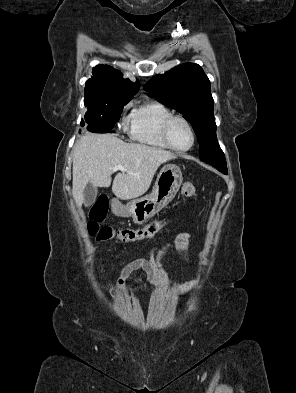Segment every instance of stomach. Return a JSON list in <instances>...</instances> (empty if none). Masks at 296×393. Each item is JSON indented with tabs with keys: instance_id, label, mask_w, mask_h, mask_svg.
I'll return each mask as SVG.
<instances>
[{
	"instance_id": "1",
	"label": "stomach",
	"mask_w": 296,
	"mask_h": 393,
	"mask_svg": "<svg viewBox=\"0 0 296 393\" xmlns=\"http://www.w3.org/2000/svg\"><path fill=\"white\" fill-rule=\"evenodd\" d=\"M181 184L180 168L174 164L164 165L150 195L132 200L125 205L116 202L113 212L120 217H131L135 223L142 224L172 201Z\"/></svg>"
}]
</instances>
